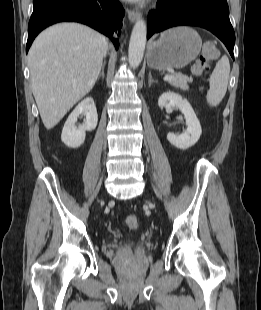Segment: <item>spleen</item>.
<instances>
[{"label":"spleen","instance_id":"3e777b00","mask_svg":"<svg viewBox=\"0 0 261 310\" xmlns=\"http://www.w3.org/2000/svg\"><path fill=\"white\" fill-rule=\"evenodd\" d=\"M230 74V63L227 56H222L209 77L210 89L207 92V103L216 107L222 101L227 91Z\"/></svg>","mask_w":261,"mask_h":310}]
</instances>
